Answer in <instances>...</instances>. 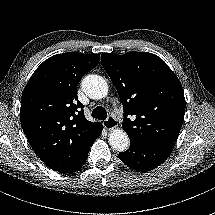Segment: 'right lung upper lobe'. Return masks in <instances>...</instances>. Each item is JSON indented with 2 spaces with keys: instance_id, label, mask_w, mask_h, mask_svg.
<instances>
[{
  "instance_id": "1",
  "label": "right lung upper lobe",
  "mask_w": 215,
  "mask_h": 215,
  "mask_svg": "<svg viewBox=\"0 0 215 215\" xmlns=\"http://www.w3.org/2000/svg\"><path fill=\"white\" fill-rule=\"evenodd\" d=\"M99 60V54L54 55L39 65L24 88L21 125L34 152L47 166L76 163L82 142L97 125L85 118L76 89Z\"/></svg>"
}]
</instances>
